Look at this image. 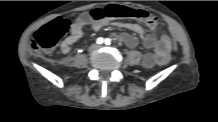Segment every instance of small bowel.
Instances as JSON below:
<instances>
[{
	"instance_id": "obj_1",
	"label": "small bowel",
	"mask_w": 218,
	"mask_h": 122,
	"mask_svg": "<svg viewBox=\"0 0 218 122\" xmlns=\"http://www.w3.org/2000/svg\"><path fill=\"white\" fill-rule=\"evenodd\" d=\"M114 24L117 27L125 28L132 33H122L119 39L128 47L135 48L139 44L136 35L142 36V45L145 49L154 48V52H148L143 56V65L151 68L156 64H160V59L168 55L173 48L172 40L168 34L151 33L145 34L144 28L135 22H112L108 18L97 20L93 18L91 13H83L78 16L71 25L69 35L61 42L60 51L67 54L71 51L72 46L83 36V30L86 26H90L92 30L98 31L102 26ZM161 65V64H160Z\"/></svg>"
}]
</instances>
